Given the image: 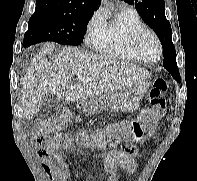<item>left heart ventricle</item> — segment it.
<instances>
[{"label": "left heart ventricle", "instance_id": "obj_1", "mask_svg": "<svg viewBox=\"0 0 197 181\" xmlns=\"http://www.w3.org/2000/svg\"><path fill=\"white\" fill-rule=\"evenodd\" d=\"M140 47L146 59L155 60L157 58L158 46L155 40L151 36L149 35L144 36L140 42Z\"/></svg>", "mask_w": 197, "mask_h": 181}]
</instances>
